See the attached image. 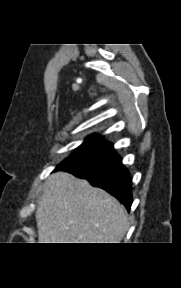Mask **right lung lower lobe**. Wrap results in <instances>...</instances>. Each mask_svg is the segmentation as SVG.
Returning a JSON list of instances; mask_svg holds the SVG:
<instances>
[{
  "mask_svg": "<svg viewBox=\"0 0 181 288\" xmlns=\"http://www.w3.org/2000/svg\"><path fill=\"white\" fill-rule=\"evenodd\" d=\"M60 170L87 179L93 186L100 187L116 197L128 210L131 208L132 183L129 171L123 166L121 158L78 163L62 167Z\"/></svg>",
  "mask_w": 181,
  "mask_h": 288,
  "instance_id": "1",
  "label": "right lung lower lobe"
}]
</instances>
